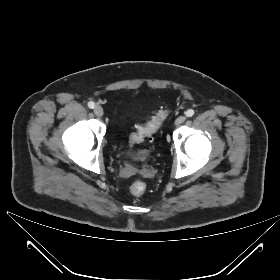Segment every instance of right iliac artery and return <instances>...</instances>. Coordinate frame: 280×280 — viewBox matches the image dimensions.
Listing matches in <instances>:
<instances>
[{
  "label": "right iliac artery",
  "mask_w": 280,
  "mask_h": 280,
  "mask_svg": "<svg viewBox=\"0 0 280 280\" xmlns=\"http://www.w3.org/2000/svg\"><path fill=\"white\" fill-rule=\"evenodd\" d=\"M88 107L91 108V109H93V108L95 107V103L92 102V101H90V102L88 103Z\"/></svg>",
  "instance_id": "right-iliac-artery-1"
}]
</instances>
